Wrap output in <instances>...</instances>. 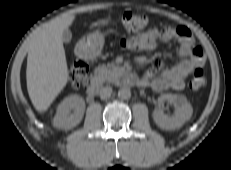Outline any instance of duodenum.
I'll list each match as a JSON object with an SVG mask.
<instances>
[{"instance_id": "410a0bca", "label": "duodenum", "mask_w": 231, "mask_h": 170, "mask_svg": "<svg viewBox=\"0 0 231 170\" xmlns=\"http://www.w3.org/2000/svg\"><path fill=\"white\" fill-rule=\"evenodd\" d=\"M121 78L120 81L124 84H138L139 79L136 74L128 67H122L120 72ZM102 86V78L100 76H94L88 87H87V94L90 99L94 98Z\"/></svg>"}]
</instances>
